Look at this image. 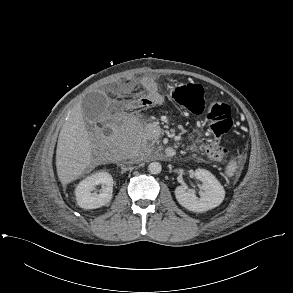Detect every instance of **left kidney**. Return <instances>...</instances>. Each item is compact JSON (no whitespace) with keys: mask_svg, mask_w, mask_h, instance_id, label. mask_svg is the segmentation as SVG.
Masks as SVG:
<instances>
[{"mask_svg":"<svg viewBox=\"0 0 293 293\" xmlns=\"http://www.w3.org/2000/svg\"><path fill=\"white\" fill-rule=\"evenodd\" d=\"M194 176L202 182L200 198L196 197L194 191L178 186L175 196L179 204L193 212H205L219 206L224 200L225 190L216 177L200 168L195 170Z\"/></svg>","mask_w":293,"mask_h":293,"instance_id":"left-kidney-1","label":"left kidney"}]
</instances>
